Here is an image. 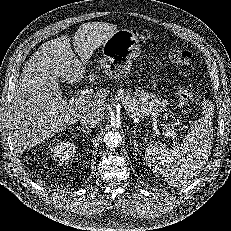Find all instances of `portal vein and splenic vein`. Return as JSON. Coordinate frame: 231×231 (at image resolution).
Listing matches in <instances>:
<instances>
[{
  "label": "portal vein and splenic vein",
  "instance_id": "18ae733b",
  "mask_svg": "<svg viewBox=\"0 0 231 231\" xmlns=\"http://www.w3.org/2000/svg\"><path fill=\"white\" fill-rule=\"evenodd\" d=\"M77 102H80V103H87V102H89L88 95L86 94L85 91H82L81 95H79L77 97ZM161 126L164 127V129H165V135L166 136H171L173 139H175L176 132L174 130H171L170 128L166 127L164 124H161Z\"/></svg>",
  "mask_w": 231,
  "mask_h": 231
}]
</instances>
